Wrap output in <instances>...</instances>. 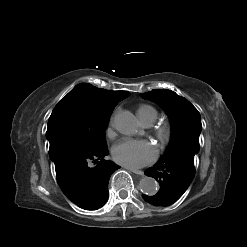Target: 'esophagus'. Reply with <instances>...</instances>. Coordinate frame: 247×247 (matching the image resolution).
<instances>
[{
    "label": "esophagus",
    "instance_id": "34e87169",
    "mask_svg": "<svg viewBox=\"0 0 247 247\" xmlns=\"http://www.w3.org/2000/svg\"><path fill=\"white\" fill-rule=\"evenodd\" d=\"M128 170L133 172V173H135V174H137V175L143 176V174H144L143 171H141V170L131 169V168H129Z\"/></svg>",
    "mask_w": 247,
    "mask_h": 247
}]
</instances>
